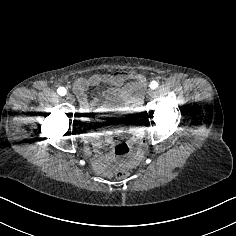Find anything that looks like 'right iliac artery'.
I'll return each instance as SVG.
<instances>
[{
    "label": "right iliac artery",
    "mask_w": 236,
    "mask_h": 236,
    "mask_svg": "<svg viewBox=\"0 0 236 236\" xmlns=\"http://www.w3.org/2000/svg\"><path fill=\"white\" fill-rule=\"evenodd\" d=\"M57 92L59 95L64 96L67 93V90L64 87H59Z\"/></svg>",
    "instance_id": "obj_1"
}]
</instances>
